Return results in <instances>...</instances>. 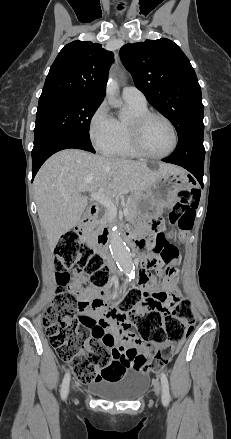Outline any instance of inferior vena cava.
Here are the masks:
<instances>
[{"instance_id": "1", "label": "inferior vena cava", "mask_w": 231, "mask_h": 439, "mask_svg": "<svg viewBox=\"0 0 231 439\" xmlns=\"http://www.w3.org/2000/svg\"><path fill=\"white\" fill-rule=\"evenodd\" d=\"M110 267H111V270H114V269H115L113 265H110Z\"/></svg>"}]
</instances>
